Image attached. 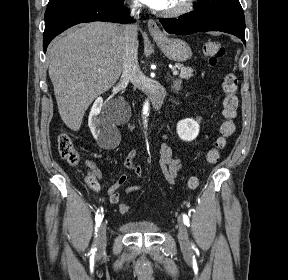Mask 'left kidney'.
Returning <instances> with one entry per match:
<instances>
[{
  "label": "left kidney",
  "instance_id": "5707ae66",
  "mask_svg": "<svg viewBox=\"0 0 288 280\" xmlns=\"http://www.w3.org/2000/svg\"><path fill=\"white\" fill-rule=\"evenodd\" d=\"M199 128V121L187 118L177 123L176 130L180 139L183 141H192L198 136Z\"/></svg>",
  "mask_w": 288,
  "mask_h": 280
}]
</instances>
